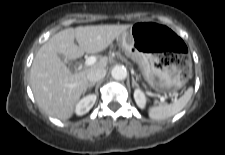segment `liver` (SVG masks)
I'll return each mask as SVG.
<instances>
[{"label": "liver", "instance_id": "6515ba94", "mask_svg": "<svg viewBox=\"0 0 225 155\" xmlns=\"http://www.w3.org/2000/svg\"><path fill=\"white\" fill-rule=\"evenodd\" d=\"M131 25H95L67 28L52 36L38 50L30 70V85L38 106L49 116L69 119L88 86L93 68H105L106 57L80 72L72 73L60 58H80L104 51ZM78 42L75 44L74 40Z\"/></svg>", "mask_w": 225, "mask_h": 155}]
</instances>
